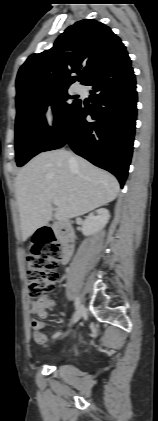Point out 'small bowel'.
I'll return each instance as SVG.
<instances>
[{
	"label": "small bowel",
	"mask_w": 158,
	"mask_h": 421,
	"mask_svg": "<svg viewBox=\"0 0 158 421\" xmlns=\"http://www.w3.org/2000/svg\"><path fill=\"white\" fill-rule=\"evenodd\" d=\"M52 306V302L48 300H42L38 302H33L31 304V313L38 316L41 319H44L48 316L47 308ZM31 327L33 330L34 340L38 344H45L47 342V334L45 333V323L39 319H33L31 321Z\"/></svg>",
	"instance_id": "obj_1"
}]
</instances>
